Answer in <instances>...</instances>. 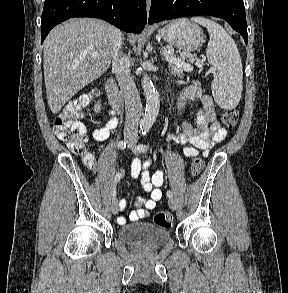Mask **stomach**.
I'll list each match as a JSON object with an SVG mask.
<instances>
[{
    "label": "stomach",
    "mask_w": 288,
    "mask_h": 293,
    "mask_svg": "<svg viewBox=\"0 0 288 293\" xmlns=\"http://www.w3.org/2000/svg\"><path fill=\"white\" fill-rule=\"evenodd\" d=\"M158 33L166 42L185 52L197 50L204 41L202 29L186 19L172 21Z\"/></svg>",
    "instance_id": "stomach-1"
}]
</instances>
